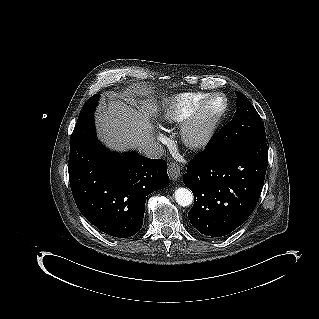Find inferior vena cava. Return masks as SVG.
Listing matches in <instances>:
<instances>
[{"label": "inferior vena cava", "mask_w": 319, "mask_h": 319, "mask_svg": "<svg viewBox=\"0 0 319 319\" xmlns=\"http://www.w3.org/2000/svg\"><path fill=\"white\" fill-rule=\"evenodd\" d=\"M139 151L146 157L151 159H158L162 157L165 153V149L158 142H150L143 144Z\"/></svg>", "instance_id": "obj_1"}]
</instances>
